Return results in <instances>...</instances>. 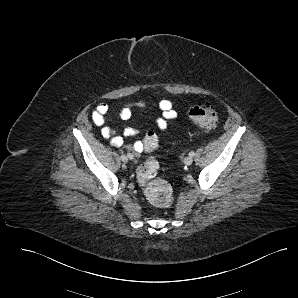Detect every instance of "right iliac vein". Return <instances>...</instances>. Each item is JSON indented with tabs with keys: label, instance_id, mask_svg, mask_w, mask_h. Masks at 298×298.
Returning a JSON list of instances; mask_svg holds the SVG:
<instances>
[{
	"label": "right iliac vein",
	"instance_id": "1",
	"mask_svg": "<svg viewBox=\"0 0 298 298\" xmlns=\"http://www.w3.org/2000/svg\"><path fill=\"white\" fill-rule=\"evenodd\" d=\"M121 160H122L124 163L128 162V156H126V155H122V156H121Z\"/></svg>",
	"mask_w": 298,
	"mask_h": 298
}]
</instances>
